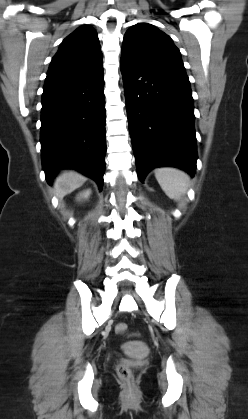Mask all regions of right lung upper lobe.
I'll return each mask as SVG.
<instances>
[{
	"instance_id": "cb5924a9",
	"label": "right lung upper lobe",
	"mask_w": 248,
	"mask_h": 419,
	"mask_svg": "<svg viewBox=\"0 0 248 419\" xmlns=\"http://www.w3.org/2000/svg\"><path fill=\"white\" fill-rule=\"evenodd\" d=\"M102 67V53L96 31L81 26L67 36L53 57L45 83L70 80Z\"/></svg>"
}]
</instances>
